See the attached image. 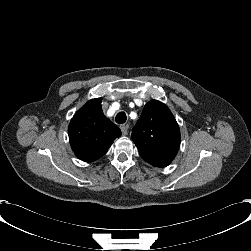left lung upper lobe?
<instances>
[{
  "mask_svg": "<svg viewBox=\"0 0 251 251\" xmlns=\"http://www.w3.org/2000/svg\"><path fill=\"white\" fill-rule=\"evenodd\" d=\"M131 137L140 156L155 167L168 166L180 146L179 126L169 108L157 100L145 105Z\"/></svg>",
  "mask_w": 251,
  "mask_h": 251,
  "instance_id": "1",
  "label": "left lung upper lobe"
}]
</instances>
